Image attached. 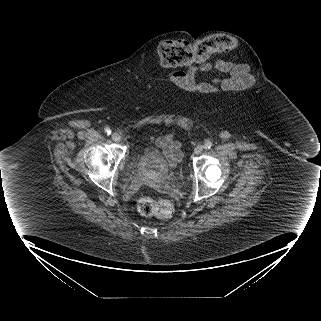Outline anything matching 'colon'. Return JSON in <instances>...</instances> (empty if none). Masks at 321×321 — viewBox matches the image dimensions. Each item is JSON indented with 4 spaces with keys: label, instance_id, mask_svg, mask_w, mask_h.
Segmentation results:
<instances>
[{
    "label": "colon",
    "instance_id": "1",
    "mask_svg": "<svg viewBox=\"0 0 321 321\" xmlns=\"http://www.w3.org/2000/svg\"><path fill=\"white\" fill-rule=\"evenodd\" d=\"M235 47L232 37L216 35L190 43L183 40L161 42L157 46V55L160 63L166 68L187 66L194 63H202L219 52L230 51ZM137 208L144 217L156 216L167 219L174 212L173 204L166 199H159L149 195L138 200Z\"/></svg>",
    "mask_w": 321,
    "mask_h": 321
}]
</instances>
